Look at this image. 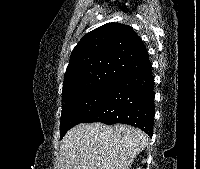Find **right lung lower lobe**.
<instances>
[{"mask_svg":"<svg viewBox=\"0 0 200 169\" xmlns=\"http://www.w3.org/2000/svg\"><path fill=\"white\" fill-rule=\"evenodd\" d=\"M151 67L117 80L104 102L83 123H123L153 134L154 79Z\"/></svg>","mask_w":200,"mask_h":169,"instance_id":"obj_1","label":"right lung lower lobe"}]
</instances>
